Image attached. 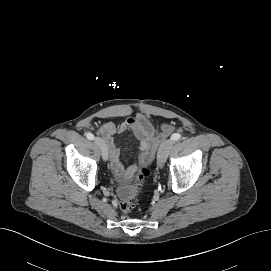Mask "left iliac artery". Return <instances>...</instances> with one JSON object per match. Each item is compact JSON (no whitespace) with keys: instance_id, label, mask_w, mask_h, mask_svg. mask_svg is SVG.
<instances>
[{"instance_id":"left-iliac-artery-1","label":"left iliac artery","mask_w":271,"mask_h":271,"mask_svg":"<svg viewBox=\"0 0 271 271\" xmlns=\"http://www.w3.org/2000/svg\"><path fill=\"white\" fill-rule=\"evenodd\" d=\"M181 138V135L179 133H175L171 136L172 141H177Z\"/></svg>"}]
</instances>
